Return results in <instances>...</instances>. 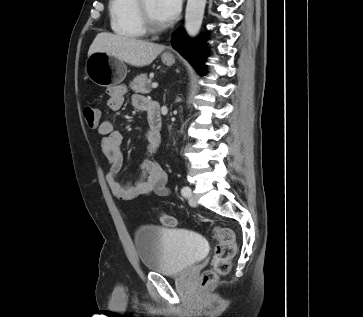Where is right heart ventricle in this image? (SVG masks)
<instances>
[{"instance_id": "obj_1", "label": "right heart ventricle", "mask_w": 363, "mask_h": 317, "mask_svg": "<svg viewBox=\"0 0 363 317\" xmlns=\"http://www.w3.org/2000/svg\"><path fill=\"white\" fill-rule=\"evenodd\" d=\"M137 0H109L110 26L112 31L125 38H141L146 34L137 12Z\"/></svg>"}]
</instances>
